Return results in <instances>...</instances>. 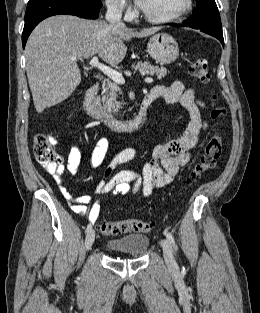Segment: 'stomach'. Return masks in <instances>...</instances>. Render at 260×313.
<instances>
[{
  "label": "stomach",
  "mask_w": 260,
  "mask_h": 313,
  "mask_svg": "<svg viewBox=\"0 0 260 313\" xmlns=\"http://www.w3.org/2000/svg\"><path fill=\"white\" fill-rule=\"evenodd\" d=\"M147 51L160 64L173 63L179 56L176 40L167 33L152 36L147 44Z\"/></svg>",
  "instance_id": "obj_1"
}]
</instances>
